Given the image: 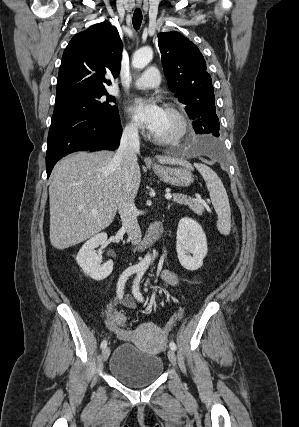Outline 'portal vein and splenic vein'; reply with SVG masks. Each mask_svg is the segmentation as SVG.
Here are the masks:
<instances>
[{"mask_svg": "<svg viewBox=\"0 0 299 427\" xmlns=\"http://www.w3.org/2000/svg\"><path fill=\"white\" fill-rule=\"evenodd\" d=\"M165 197H166V199H171L172 198V195L171 194H166L165 195ZM96 213V212H95Z\"/></svg>", "mask_w": 299, "mask_h": 427, "instance_id": "portal-vein-and-splenic-vein-1", "label": "portal vein and splenic vein"}]
</instances>
